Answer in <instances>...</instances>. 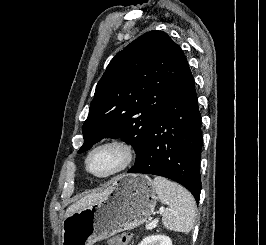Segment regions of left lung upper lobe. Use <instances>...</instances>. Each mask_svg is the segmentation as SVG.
I'll use <instances>...</instances> for the list:
<instances>
[{
  "label": "left lung upper lobe",
  "instance_id": "5c2ea615",
  "mask_svg": "<svg viewBox=\"0 0 266 245\" xmlns=\"http://www.w3.org/2000/svg\"><path fill=\"white\" fill-rule=\"evenodd\" d=\"M187 66L180 46L165 32L149 31L130 43L96 86L78 153L104 137L121 138L134 147L137 162L154 118Z\"/></svg>",
  "mask_w": 266,
  "mask_h": 245
}]
</instances>
